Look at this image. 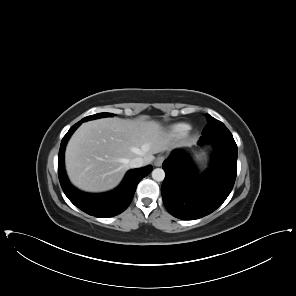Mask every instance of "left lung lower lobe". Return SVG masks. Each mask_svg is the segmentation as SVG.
Returning <instances> with one entry per match:
<instances>
[{"label":"left lung lower lobe","mask_w":296,"mask_h":296,"mask_svg":"<svg viewBox=\"0 0 296 296\" xmlns=\"http://www.w3.org/2000/svg\"><path fill=\"white\" fill-rule=\"evenodd\" d=\"M201 143H206L203 137ZM210 169L197 174L191 159L177 150L163 162L165 179L161 187L164 205L173 216L198 219L216 210L230 194L237 165L236 143H214Z\"/></svg>","instance_id":"1"}]
</instances>
